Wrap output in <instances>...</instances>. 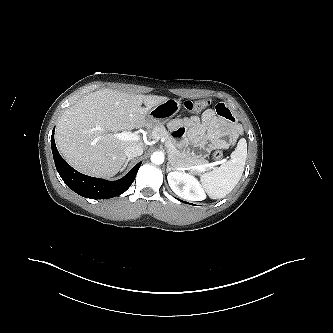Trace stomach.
I'll list each match as a JSON object with an SVG mask.
<instances>
[{
    "label": "stomach",
    "mask_w": 333,
    "mask_h": 333,
    "mask_svg": "<svg viewBox=\"0 0 333 333\" xmlns=\"http://www.w3.org/2000/svg\"><path fill=\"white\" fill-rule=\"evenodd\" d=\"M181 103L177 99L167 98L154 106L147 115V122L150 126L164 124L174 117L180 110Z\"/></svg>",
    "instance_id": "1"
}]
</instances>
